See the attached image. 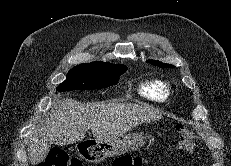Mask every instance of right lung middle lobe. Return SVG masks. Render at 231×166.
Segmentation results:
<instances>
[{
	"mask_svg": "<svg viewBox=\"0 0 231 166\" xmlns=\"http://www.w3.org/2000/svg\"><path fill=\"white\" fill-rule=\"evenodd\" d=\"M126 70L125 65L101 61L79 64L67 73L66 80L57 87V91L106 88L116 84Z\"/></svg>",
	"mask_w": 231,
	"mask_h": 166,
	"instance_id": "1",
	"label": "right lung middle lobe"
}]
</instances>
